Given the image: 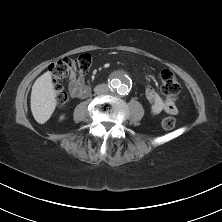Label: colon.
<instances>
[{"label": "colon", "instance_id": "1", "mask_svg": "<svg viewBox=\"0 0 222 222\" xmlns=\"http://www.w3.org/2000/svg\"><path fill=\"white\" fill-rule=\"evenodd\" d=\"M92 66V57L90 54H81L76 58H62L49 66V72L54 81L55 98L58 106H63L67 101V93L61 84V81L72 73L84 75L88 73ZM161 88L168 99L175 98L180 91V84L176 75L170 70H164L160 75ZM176 120L168 116L162 120V127L165 130L174 128Z\"/></svg>", "mask_w": 222, "mask_h": 222}]
</instances>
